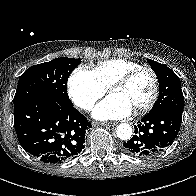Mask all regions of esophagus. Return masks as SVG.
I'll return each instance as SVG.
<instances>
[{
	"label": "esophagus",
	"mask_w": 196,
	"mask_h": 196,
	"mask_svg": "<svg viewBox=\"0 0 196 196\" xmlns=\"http://www.w3.org/2000/svg\"><path fill=\"white\" fill-rule=\"evenodd\" d=\"M103 126H114L115 123L114 122H103L101 123Z\"/></svg>",
	"instance_id": "obj_1"
}]
</instances>
